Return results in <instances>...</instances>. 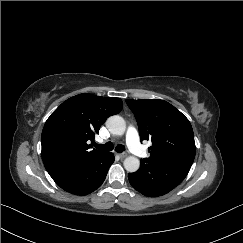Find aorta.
Here are the masks:
<instances>
[{"label":"aorta","instance_id":"obj_1","mask_svg":"<svg viewBox=\"0 0 243 243\" xmlns=\"http://www.w3.org/2000/svg\"><path fill=\"white\" fill-rule=\"evenodd\" d=\"M106 127L113 135L121 136L126 130V123L121 116L113 115L106 120ZM123 164L124 168L130 173L136 172L140 167L139 159L134 156L125 158Z\"/></svg>","mask_w":243,"mask_h":243}]
</instances>
